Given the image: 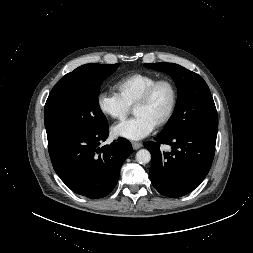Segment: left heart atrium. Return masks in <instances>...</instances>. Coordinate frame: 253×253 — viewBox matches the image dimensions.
<instances>
[{
    "label": "left heart atrium",
    "mask_w": 253,
    "mask_h": 253,
    "mask_svg": "<svg viewBox=\"0 0 253 253\" xmlns=\"http://www.w3.org/2000/svg\"><path fill=\"white\" fill-rule=\"evenodd\" d=\"M155 125L143 116L136 115L132 119L123 121L112 128L116 137L129 140H140L147 137L154 130Z\"/></svg>",
    "instance_id": "39dd6f15"
}]
</instances>
